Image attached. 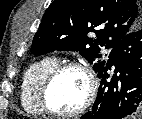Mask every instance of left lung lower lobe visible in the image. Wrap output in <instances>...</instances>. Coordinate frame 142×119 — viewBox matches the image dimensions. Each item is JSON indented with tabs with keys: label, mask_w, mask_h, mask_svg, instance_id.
<instances>
[{
	"label": "left lung lower lobe",
	"mask_w": 142,
	"mask_h": 119,
	"mask_svg": "<svg viewBox=\"0 0 142 119\" xmlns=\"http://www.w3.org/2000/svg\"><path fill=\"white\" fill-rule=\"evenodd\" d=\"M114 66L110 81L108 70ZM92 111L81 119H123L141 113L142 28L126 34L113 48L103 70Z\"/></svg>",
	"instance_id": "left-lung-lower-lobe-1"
}]
</instances>
